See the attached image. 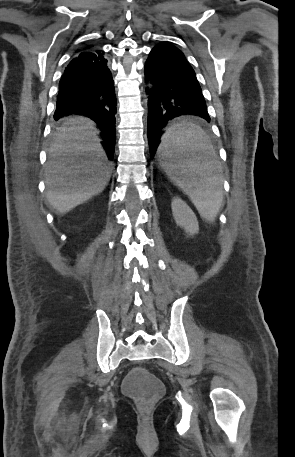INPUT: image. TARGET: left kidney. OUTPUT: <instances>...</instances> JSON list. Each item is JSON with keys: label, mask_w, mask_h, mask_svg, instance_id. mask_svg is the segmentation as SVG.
Here are the masks:
<instances>
[{"label": "left kidney", "mask_w": 295, "mask_h": 457, "mask_svg": "<svg viewBox=\"0 0 295 457\" xmlns=\"http://www.w3.org/2000/svg\"><path fill=\"white\" fill-rule=\"evenodd\" d=\"M172 213L178 226L185 229L189 235H194L199 231V225L194 212L180 198H174L172 203Z\"/></svg>", "instance_id": "left-kidney-1"}]
</instances>
